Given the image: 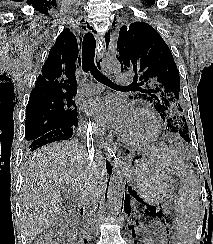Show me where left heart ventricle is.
I'll use <instances>...</instances> for the list:
<instances>
[{"label": "left heart ventricle", "instance_id": "left-heart-ventricle-1", "mask_svg": "<svg viewBox=\"0 0 213 244\" xmlns=\"http://www.w3.org/2000/svg\"><path fill=\"white\" fill-rule=\"evenodd\" d=\"M151 131V123L145 116L133 114L131 121L122 132V135L130 139H141L148 136Z\"/></svg>", "mask_w": 213, "mask_h": 244}]
</instances>
